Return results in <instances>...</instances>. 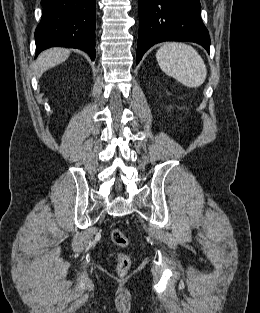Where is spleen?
Masks as SVG:
<instances>
[{
  "mask_svg": "<svg viewBox=\"0 0 260 313\" xmlns=\"http://www.w3.org/2000/svg\"><path fill=\"white\" fill-rule=\"evenodd\" d=\"M162 71L189 88L201 86L207 76L206 65L191 46L185 43H165L156 53Z\"/></svg>",
  "mask_w": 260,
  "mask_h": 313,
  "instance_id": "1",
  "label": "spleen"
}]
</instances>
